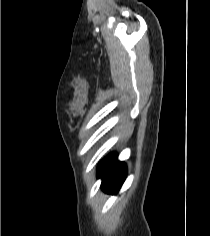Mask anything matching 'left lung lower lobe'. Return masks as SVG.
Listing matches in <instances>:
<instances>
[{"mask_svg": "<svg viewBox=\"0 0 210 236\" xmlns=\"http://www.w3.org/2000/svg\"><path fill=\"white\" fill-rule=\"evenodd\" d=\"M98 177L102 178V189L115 194L126 178V165L117 160L116 154H111L99 164Z\"/></svg>", "mask_w": 210, "mask_h": 236, "instance_id": "obj_1", "label": "left lung lower lobe"}]
</instances>
